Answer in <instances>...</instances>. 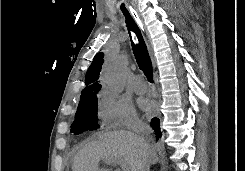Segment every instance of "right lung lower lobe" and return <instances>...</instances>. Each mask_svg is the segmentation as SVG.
<instances>
[{
    "label": "right lung lower lobe",
    "instance_id": "obj_1",
    "mask_svg": "<svg viewBox=\"0 0 245 171\" xmlns=\"http://www.w3.org/2000/svg\"><path fill=\"white\" fill-rule=\"evenodd\" d=\"M151 127L153 128L156 139L158 140L161 137L160 121L158 118L151 119Z\"/></svg>",
    "mask_w": 245,
    "mask_h": 171
}]
</instances>
